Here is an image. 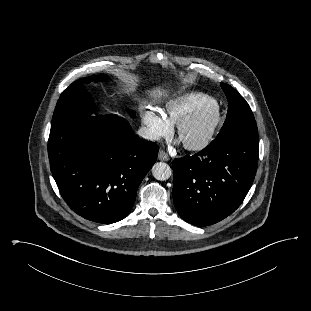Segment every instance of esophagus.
I'll return each mask as SVG.
<instances>
[{"mask_svg":"<svg viewBox=\"0 0 311 311\" xmlns=\"http://www.w3.org/2000/svg\"><path fill=\"white\" fill-rule=\"evenodd\" d=\"M158 159L161 160V161H168L169 160V156H168V154L165 151L160 150L159 154H158Z\"/></svg>","mask_w":311,"mask_h":311,"instance_id":"34e87169","label":"esophagus"}]
</instances>
